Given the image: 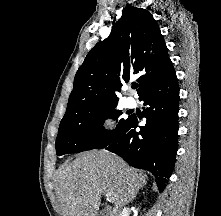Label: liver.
<instances>
[{
	"instance_id": "liver-1",
	"label": "liver",
	"mask_w": 221,
	"mask_h": 216,
	"mask_svg": "<svg viewBox=\"0 0 221 216\" xmlns=\"http://www.w3.org/2000/svg\"><path fill=\"white\" fill-rule=\"evenodd\" d=\"M147 176L106 150H93L64 162L57 172L62 216H98L102 195L111 194L117 214L146 185ZM111 212L107 208L105 216Z\"/></svg>"
}]
</instances>
